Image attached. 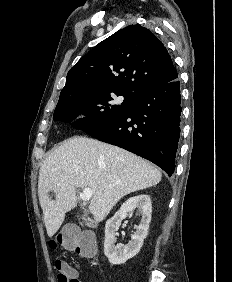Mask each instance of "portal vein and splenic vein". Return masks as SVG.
<instances>
[{"label":"portal vein and splenic vein","mask_w":232,"mask_h":282,"mask_svg":"<svg viewBox=\"0 0 232 282\" xmlns=\"http://www.w3.org/2000/svg\"><path fill=\"white\" fill-rule=\"evenodd\" d=\"M93 195V192L90 188H84L83 192L80 193V198L83 201H89Z\"/></svg>","instance_id":"18ae733b"}]
</instances>
